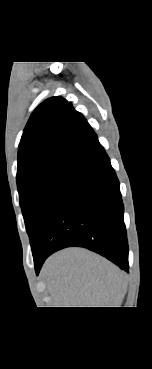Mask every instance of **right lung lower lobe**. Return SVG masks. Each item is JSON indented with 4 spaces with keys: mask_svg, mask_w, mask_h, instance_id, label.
Returning <instances> with one entry per match:
<instances>
[{
    "mask_svg": "<svg viewBox=\"0 0 152 369\" xmlns=\"http://www.w3.org/2000/svg\"><path fill=\"white\" fill-rule=\"evenodd\" d=\"M119 181L98 143L68 176L33 251L36 273L53 252L78 246L128 271V242Z\"/></svg>",
    "mask_w": 152,
    "mask_h": 369,
    "instance_id": "right-lung-lower-lobe-1",
    "label": "right lung lower lobe"
}]
</instances>
